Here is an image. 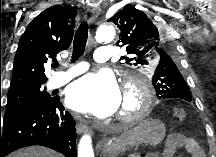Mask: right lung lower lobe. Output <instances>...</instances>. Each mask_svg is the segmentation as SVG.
I'll return each mask as SVG.
<instances>
[{
    "instance_id": "98d812e1",
    "label": "right lung lower lobe",
    "mask_w": 216,
    "mask_h": 157,
    "mask_svg": "<svg viewBox=\"0 0 216 157\" xmlns=\"http://www.w3.org/2000/svg\"><path fill=\"white\" fill-rule=\"evenodd\" d=\"M29 145L49 147L65 157H76L75 121L58 98L50 104L0 118V157Z\"/></svg>"
}]
</instances>
